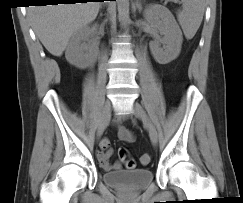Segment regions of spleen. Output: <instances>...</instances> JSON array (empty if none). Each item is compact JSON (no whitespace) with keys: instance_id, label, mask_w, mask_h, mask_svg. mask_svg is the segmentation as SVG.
<instances>
[{"instance_id":"1","label":"spleen","mask_w":243,"mask_h":203,"mask_svg":"<svg viewBox=\"0 0 243 203\" xmlns=\"http://www.w3.org/2000/svg\"><path fill=\"white\" fill-rule=\"evenodd\" d=\"M182 10L178 11L177 19L187 39H192L203 20L204 0H182Z\"/></svg>"}]
</instances>
